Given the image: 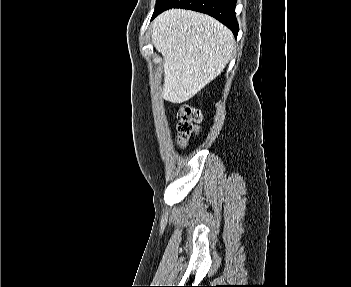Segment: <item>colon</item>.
<instances>
[{
	"label": "colon",
	"instance_id": "5ec220e1",
	"mask_svg": "<svg viewBox=\"0 0 351 287\" xmlns=\"http://www.w3.org/2000/svg\"><path fill=\"white\" fill-rule=\"evenodd\" d=\"M178 120V144L181 147H184L190 137L198 133L199 123L201 121V113L197 108L193 106L183 105L178 111Z\"/></svg>",
	"mask_w": 351,
	"mask_h": 287
}]
</instances>
